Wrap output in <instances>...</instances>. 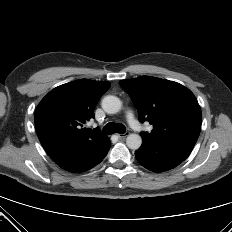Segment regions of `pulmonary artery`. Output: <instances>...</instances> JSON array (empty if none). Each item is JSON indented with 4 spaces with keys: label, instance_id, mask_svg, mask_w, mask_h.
Instances as JSON below:
<instances>
[{
    "label": "pulmonary artery",
    "instance_id": "obj_1",
    "mask_svg": "<svg viewBox=\"0 0 232 232\" xmlns=\"http://www.w3.org/2000/svg\"><path fill=\"white\" fill-rule=\"evenodd\" d=\"M128 122L135 130H143V126L134 118L132 113H128Z\"/></svg>",
    "mask_w": 232,
    "mask_h": 232
}]
</instances>
